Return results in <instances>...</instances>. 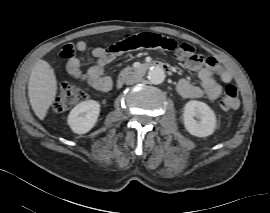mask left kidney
<instances>
[{"instance_id": "5707ae66", "label": "left kidney", "mask_w": 270, "mask_h": 213, "mask_svg": "<svg viewBox=\"0 0 270 213\" xmlns=\"http://www.w3.org/2000/svg\"><path fill=\"white\" fill-rule=\"evenodd\" d=\"M183 121L186 130L196 137L212 135L216 128V116L213 110L207 104L196 100L185 104Z\"/></svg>"}]
</instances>
